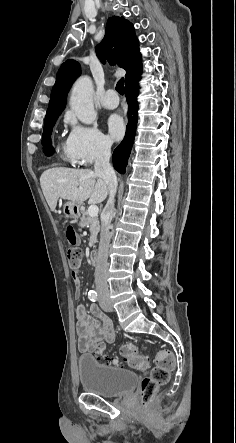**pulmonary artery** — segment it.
Segmentation results:
<instances>
[{"label":"pulmonary artery","mask_w":236,"mask_h":443,"mask_svg":"<svg viewBox=\"0 0 236 443\" xmlns=\"http://www.w3.org/2000/svg\"><path fill=\"white\" fill-rule=\"evenodd\" d=\"M115 94V90L109 89L107 90L102 98L100 99V103L103 107L107 109H114L118 106L119 102L117 100H111L110 96Z\"/></svg>","instance_id":"1"}]
</instances>
